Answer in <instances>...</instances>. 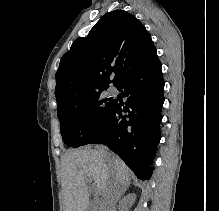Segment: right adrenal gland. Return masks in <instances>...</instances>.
Here are the masks:
<instances>
[{
  "label": "right adrenal gland",
  "mask_w": 219,
  "mask_h": 211,
  "mask_svg": "<svg viewBox=\"0 0 219 211\" xmlns=\"http://www.w3.org/2000/svg\"><path fill=\"white\" fill-rule=\"evenodd\" d=\"M128 187H129V185H127V187H123L121 195H123V193H125V191H126V189H128Z\"/></svg>",
  "instance_id": "obj_1"
}]
</instances>
